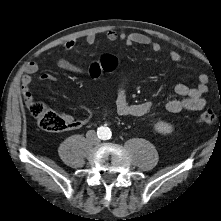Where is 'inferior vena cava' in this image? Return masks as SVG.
Here are the masks:
<instances>
[{"instance_id":"1","label":"inferior vena cava","mask_w":221,"mask_h":221,"mask_svg":"<svg viewBox=\"0 0 221 221\" xmlns=\"http://www.w3.org/2000/svg\"><path fill=\"white\" fill-rule=\"evenodd\" d=\"M86 136L92 144H98L100 142L98 136L96 135L95 131H93V130L88 131Z\"/></svg>"}]
</instances>
